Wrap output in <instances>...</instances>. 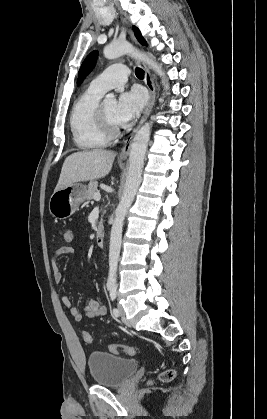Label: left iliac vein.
<instances>
[{
  "mask_svg": "<svg viewBox=\"0 0 267 419\" xmlns=\"http://www.w3.org/2000/svg\"><path fill=\"white\" fill-rule=\"evenodd\" d=\"M118 311H119V314H120V316H121V318H122V321H123V322H124L127 326H130L129 321L126 319L124 309H123V307H122L121 305H119V306H118Z\"/></svg>",
  "mask_w": 267,
  "mask_h": 419,
  "instance_id": "left-iliac-vein-1",
  "label": "left iliac vein"
}]
</instances>
